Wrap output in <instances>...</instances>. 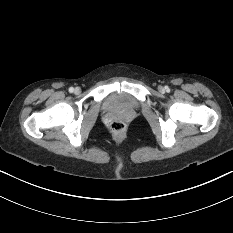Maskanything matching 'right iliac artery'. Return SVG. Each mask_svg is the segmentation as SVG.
<instances>
[{
	"mask_svg": "<svg viewBox=\"0 0 233 233\" xmlns=\"http://www.w3.org/2000/svg\"><path fill=\"white\" fill-rule=\"evenodd\" d=\"M74 91V88L73 87H70L69 88V92L72 93Z\"/></svg>",
	"mask_w": 233,
	"mask_h": 233,
	"instance_id": "82829eb1",
	"label": "right iliac artery"
}]
</instances>
